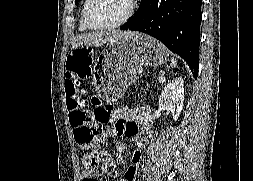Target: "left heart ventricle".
<instances>
[{"label": "left heart ventricle", "mask_w": 253, "mask_h": 181, "mask_svg": "<svg viewBox=\"0 0 253 181\" xmlns=\"http://www.w3.org/2000/svg\"><path fill=\"white\" fill-rule=\"evenodd\" d=\"M129 7L130 0H93L89 18L96 25L114 23L126 15Z\"/></svg>", "instance_id": "left-heart-ventricle-1"}]
</instances>
